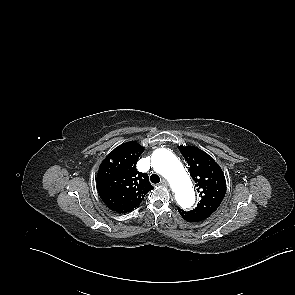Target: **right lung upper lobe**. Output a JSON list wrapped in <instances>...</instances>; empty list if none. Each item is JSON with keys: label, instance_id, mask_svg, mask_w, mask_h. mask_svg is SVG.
<instances>
[{"label": "right lung upper lobe", "instance_id": "1", "mask_svg": "<svg viewBox=\"0 0 295 295\" xmlns=\"http://www.w3.org/2000/svg\"><path fill=\"white\" fill-rule=\"evenodd\" d=\"M144 148L135 141L115 148L102 162L97 174V189L112 211H132L153 189L146 173L138 172L136 163Z\"/></svg>", "mask_w": 295, "mask_h": 295}]
</instances>
